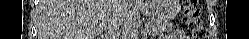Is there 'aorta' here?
<instances>
[{
    "label": "aorta",
    "instance_id": "obj_1",
    "mask_svg": "<svg viewBox=\"0 0 249 39\" xmlns=\"http://www.w3.org/2000/svg\"><path fill=\"white\" fill-rule=\"evenodd\" d=\"M137 36V30L135 28H130L127 32V39H134Z\"/></svg>",
    "mask_w": 249,
    "mask_h": 39
}]
</instances>
